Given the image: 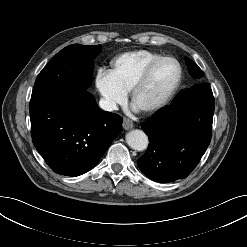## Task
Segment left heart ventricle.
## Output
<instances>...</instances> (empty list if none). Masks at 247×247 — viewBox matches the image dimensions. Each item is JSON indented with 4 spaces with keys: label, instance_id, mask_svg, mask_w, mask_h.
<instances>
[{
    "label": "left heart ventricle",
    "instance_id": "1",
    "mask_svg": "<svg viewBox=\"0 0 247 247\" xmlns=\"http://www.w3.org/2000/svg\"><path fill=\"white\" fill-rule=\"evenodd\" d=\"M177 73V66L173 61L163 60L158 63L137 93L134 103L144 109L160 100L175 82Z\"/></svg>",
    "mask_w": 247,
    "mask_h": 247
}]
</instances>
